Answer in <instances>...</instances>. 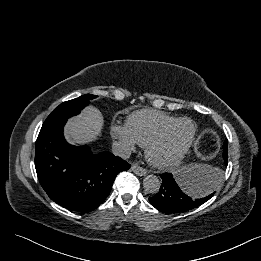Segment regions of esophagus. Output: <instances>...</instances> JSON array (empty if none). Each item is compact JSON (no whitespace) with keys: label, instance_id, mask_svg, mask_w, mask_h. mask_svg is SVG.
Masks as SVG:
<instances>
[{"label":"esophagus","instance_id":"esophagus-1","mask_svg":"<svg viewBox=\"0 0 261 261\" xmlns=\"http://www.w3.org/2000/svg\"><path fill=\"white\" fill-rule=\"evenodd\" d=\"M131 170L137 174L138 176H144L147 174V170L144 169L143 167H141L140 165L138 164H134L131 166Z\"/></svg>","mask_w":261,"mask_h":261}]
</instances>
